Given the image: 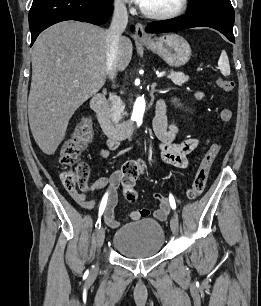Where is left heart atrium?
I'll use <instances>...</instances> for the list:
<instances>
[{
	"label": "left heart atrium",
	"instance_id": "obj_1",
	"mask_svg": "<svg viewBox=\"0 0 261 306\" xmlns=\"http://www.w3.org/2000/svg\"><path fill=\"white\" fill-rule=\"evenodd\" d=\"M127 1L139 4L142 6L146 0H127Z\"/></svg>",
	"mask_w": 261,
	"mask_h": 306
}]
</instances>
